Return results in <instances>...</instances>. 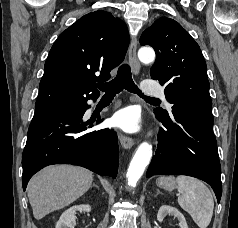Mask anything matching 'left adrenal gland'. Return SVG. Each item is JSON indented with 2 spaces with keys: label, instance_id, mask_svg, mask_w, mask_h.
<instances>
[{
  "label": "left adrenal gland",
  "instance_id": "a2214340",
  "mask_svg": "<svg viewBox=\"0 0 238 228\" xmlns=\"http://www.w3.org/2000/svg\"><path fill=\"white\" fill-rule=\"evenodd\" d=\"M161 192L159 191V190H157V193H156V195H158V194H160Z\"/></svg>",
  "mask_w": 238,
  "mask_h": 228
}]
</instances>
